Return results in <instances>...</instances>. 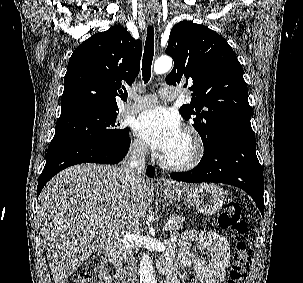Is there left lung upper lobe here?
<instances>
[{"label": "left lung upper lobe", "mask_w": 303, "mask_h": 283, "mask_svg": "<svg viewBox=\"0 0 303 283\" xmlns=\"http://www.w3.org/2000/svg\"><path fill=\"white\" fill-rule=\"evenodd\" d=\"M166 54L174 60L166 83L184 84L192 91L191 103L183 105L180 112L194 123L204 149L226 133H253L242 66L222 36L208 27L182 21L170 32Z\"/></svg>", "instance_id": "5c2ea615"}]
</instances>
